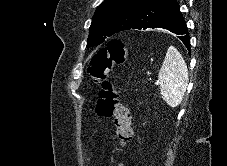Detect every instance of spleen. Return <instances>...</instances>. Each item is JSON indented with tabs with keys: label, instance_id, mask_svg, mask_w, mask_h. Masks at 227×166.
<instances>
[{
	"label": "spleen",
	"instance_id": "spleen-1",
	"mask_svg": "<svg viewBox=\"0 0 227 166\" xmlns=\"http://www.w3.org/2000/svg\"><path fill=\"white\" fill-rule=\"evenodd\" d=\"M158 78L162 99L170 107H177L182 102L188 85V70L183 57L175 47L168 48Z\"/></svg>",
	"mask_w": 227,
	"mask_h": 166
}]
</instances>
